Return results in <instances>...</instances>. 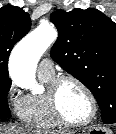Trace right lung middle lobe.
Wrapping results in <instances>:
<instances>
[{"label": "right lung middle lobe", "mask_w": 116, "mask_h": 134, "mask_svg": "<svg viewBox=\"0 0 116 134\" xmlns=\"http://www.w3.org/2000/svg\"><path fill=\"white\" fill-rule=\"evenodd\" d=\"M11 87V80L8 78H0V119L11 117L9 106L7 103V94Z\"/></svg>", "instance_id": "right-lung-middle-lobe-1"}]
</instances>
